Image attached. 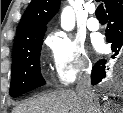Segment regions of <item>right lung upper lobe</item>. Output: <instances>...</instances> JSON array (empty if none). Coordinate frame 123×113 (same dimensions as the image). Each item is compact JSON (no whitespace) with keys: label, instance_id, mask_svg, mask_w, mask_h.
Instances as JSON below:
<instances>
[{"label":"right lung upper lobe","instance_id":"right-lung-upper-lobe-1","mask_svg":"<svg viewBox=\"0 0 123 113\" xmlns=\"http://www.w3.org/2000/svg\"><path fill=\"white\" fill-rule=\"evenodd\" d=\"M103 2L107 9L111 0ZM59 6L60 0H33L19 22L13 50L30 39L44 35L46 24L58 11Z\"/></svg>","mask_w":123,"mask_h":113}]
</instances>
